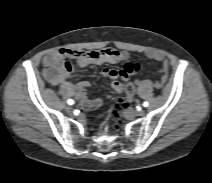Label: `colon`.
<instances>
[{"label":"colon","instance_id":"5ec220e1","mask_svg":"<svg viewBox=\"0 0 212 183\" xmlns=\"http://www.w3.org/2000/svg\"><path fill=\"white\" fill-rule=\"evenodd\" d=\"M66 69L67 70H71L72 69V65L68 62L66 64ZM134 95V85L132 83H128L125 86V98L120 100L118 102V104H116L112 110V117L113 120L117 121L120 117L121 114V110L124 104H126L127 102L132 100V97Z\"/></svg>","mask_w":212,"mask_h":183}]
</instances>
